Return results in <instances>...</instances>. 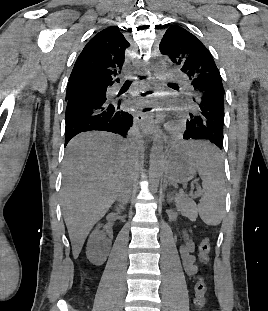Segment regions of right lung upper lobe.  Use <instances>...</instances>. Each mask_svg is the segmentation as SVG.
Masks as SVG:
<instances>
[{"instance_id":"1","label":"right lung upper lobe","mask_w":268,"mask_h":311,"mask_svg":"<svg viewBox=\"0 0 268 311\" xmlns=\"http://www.w3.org/2000/svg\"><path fill=\"white\" fill-rule=\"evenodd\" d=\"M129 42L116 26L97 33L84 47L73 67L67 88L77 84L108 86L120 73Z\"/></svg>"}]
</instances>
